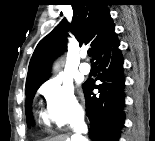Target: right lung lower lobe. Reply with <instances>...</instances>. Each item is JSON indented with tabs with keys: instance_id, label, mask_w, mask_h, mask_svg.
Listing matches in <instances>:
<instances>
[{
	"instance_id": "98d812e1",
	"label": "right lung lower lobe",
	"mask_w": 155,
	"mask_h": 141,
	"mask_svg": "<svg viewBox=\"0 0 155 141\" xmlns=\"http://www.w3.org/2000/svg\"><path fill=\"white\" fill-rule=\"evenodd\" d=\"M119 45L115 32L104 40L94 54L99 70L96 80L102 83L95 85L89 79L83 84L89 135L94 140L117 141L124 124V60ZM93 89H98L99 94H93Z\"/></svg>"
}]
</instances>
